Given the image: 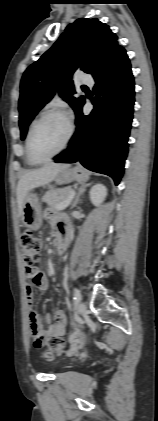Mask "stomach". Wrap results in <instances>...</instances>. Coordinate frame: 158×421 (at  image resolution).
Here are the masks:
<instances>
[{
	"label": "stomach",
	"mask_w": 158,
	"mask_h": 421,
	"mask_svg": "<svg viewBox=\"0 0 158 421\" xmlns=\"http://www.w3.org/2000/svg\"><path fill=\"white\" fill-rule=\"evenodd\" d=\"M88 177V173L81 166H69L57 174L55 182L57 184H68L73 181L85 182ZM21 220L31 230H38L40 228L42 224V213L36 194L28 193L26 195L22 207Z\"/></svg>",
	"instance_id": "obj_1"
}]
</instances>
